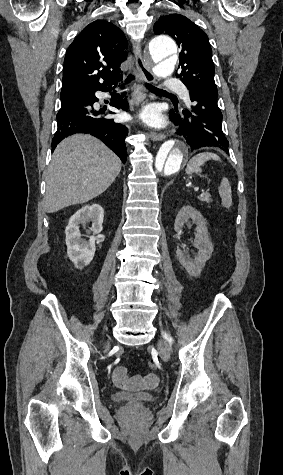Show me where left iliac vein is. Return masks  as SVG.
Segmentation results:
<instances>
[{
  "label": "left iliac vein",
  "instance_id": "obj_1",
  "mask_svg": "<svg viewBox=\"0 0 283 475\" xmlns=\"http://www.w3.org/2000/svg\"><path fill=\"white\" fill-rule=\"evenodd\" d=\"M163 334L165 335V337L171 341V337L166 333V332H163ZM158 349L160 350V353H161V356L164 360H168L170 355H169V352H168V349L162 345H159L158 346Z\"/></svg>",
  "mask_w": 283,
  "mask_h": 475
}]
</instances>
